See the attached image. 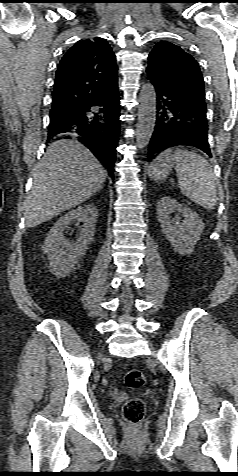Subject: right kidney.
<instances>
[{
  "label": "right kidney",
  "instance_id": "right-kidney-1",
  "mask_svg": "<svg viewBox=\"0 0 238 476\" xmlns=\"http://www.w3.org/2000/svg\"><path fill=\"white\" fill-rule=\"evenodd\" d=\"M98 209L94 205L78 207L62 216L50 229L43 252L48 256L50 271L57 278H64L75 268L78 261L93 241ZM74 220L83 223L79 236L70 243L63 236V231Z\"/></svg>",
  "mask_w": 238,
  "mask_h": 476
}]
</instances>
